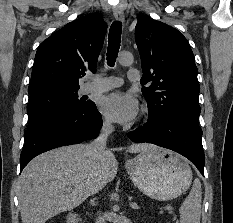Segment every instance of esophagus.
I'll list each match as a JSON object with an SVG mask.
<instances>
[{"mask_svg": "<svg viewBox=\"0 0 233 223\" xmlns=\"http://www.w3.org/2000/svg\"><path fill=\"white\" fill-rule=\"evenodd\" d=\"M113 14L116 20H119L120 22L124 21V12L120 6L116 7Z\"/></svg>", "mask_w": 233, "mask_h": 223, "instance_id": "34e87169", "label": "esophagus"}]
</instances>
